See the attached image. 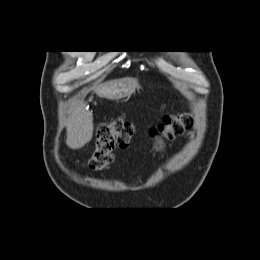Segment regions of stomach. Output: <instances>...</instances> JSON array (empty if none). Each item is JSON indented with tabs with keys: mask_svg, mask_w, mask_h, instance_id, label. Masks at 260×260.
I'll return each mask as SVG.
<instances>
[{
	"mask_svg": "<svg viewBox=\"0 0 260 260\" xmlns=\"http://www.w3.org/2000/svg\"><path fill=\"white\" fill-rule=\"evenodd\" d=\"M137 87V82L134 79L126 78L116 81V85L111 91L113 99H121L131 95Z\"/></svg>",
	"mask_w": 260,
	"mask_h": 260,
	"instance_id": "obj_1",
	"label": "stomach"
}]
</instances>
